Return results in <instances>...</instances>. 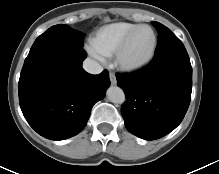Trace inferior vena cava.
Segmentation results:
<instances>
[{
  "instance_id": "obj_1",
  "label": "inferior vena cava",
  "mask_w": 219,
  "mask_h": 174,
  "mask_svg": "<svg viewBox=\"0 0 219 174\" xmlns=\"http://www.w3.org/2000/svg\"><path fill=\"white\" fill-rule=\"evenodd\" d=\"M83 68L86 72L90 74H99L102 72V66L91 58H87L83 62Z\"/></svg>"
}]
</instances>
